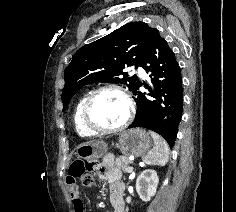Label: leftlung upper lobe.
<instances>
[{
    "label": "left lung upper lobe",
    "mask_w": 236,
    "mask_h": 212,
    "mask_svg": "<svg viewBox=\"0 0 236 212\" xmlns=\"http://www.w3.org/2000/svg\"><path fill=\"white\" fill-rule=\"evenodd\" d=\"M153 28L144 22H130L107 36L80 48L65 71L62 91L63 110L73 95L90 83H120L133 92L139 85L126 67L140 66Z\"/></svg>",
    "instance_id": "left-lung-upper-lobe-1"
}]
</instances>
